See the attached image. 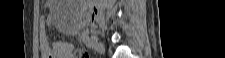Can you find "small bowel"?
I'll return each mask as SVG.
<instances>
[{
	"label": "small bowel",
	"instance_id": "1",
	"mask_svg": "<svg viewBox=\"0 0 225 58\" xmlns=\"http://www.w3.org/2000/svg\"><path fill=\"white\" fill-rule=\"evenodd\" d=\"M56 2L51 1L50 6L54 8ZM54 16L50 15L46 18V24L51 26L54 23ZM75 28H70V33H75ZM45 58H75V48L68 42H55L52 46L45 45L44 48Z\"/></svg>",
	"mask_w": 225,
	"mask_h": 58
}]
</instances>
